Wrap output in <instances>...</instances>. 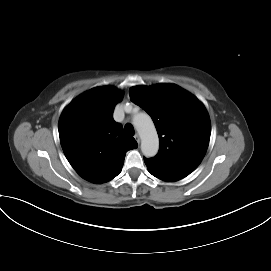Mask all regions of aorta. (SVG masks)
<instances>
[{"instance_id": "1", "label": "aorta", "mask_w": 271, "mask_h": 271, "mask_svg": "<svg viewBox=\"0 0 271 271\" xmlns=\"http://www.w3.org/2000/svg\"><path fill=\"white\" fill-rule=\"evenodd\" d=\"M133 123L141 137V151L145 157H154L159 149V139L151 117L146 113L134 116Z\"/></svg>"}]
</instances>
